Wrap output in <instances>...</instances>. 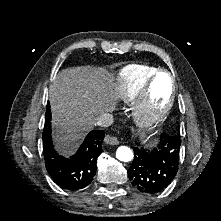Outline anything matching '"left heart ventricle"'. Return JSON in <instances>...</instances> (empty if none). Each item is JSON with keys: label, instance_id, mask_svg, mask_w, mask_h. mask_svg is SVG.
Masks as SVG:
<instances>
[{"label": "left heart ventricle", "instance_id": "obj_1", "mask_svg": "<svg viewBox=\"0 0 221 221\" xmlns=\"http://www.w3.org/2000/svg\"><path fill=\"white\" fill-rule=\"evenodd\" d=\"M170 80L166 74L159 75L152 87L151 91V107L157 110L163 107L170 94Z\"/></svg>", "mask_w": 221, "mask_h": 221}]
</instances>
